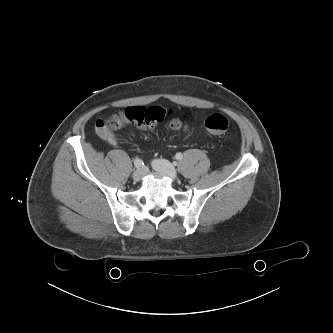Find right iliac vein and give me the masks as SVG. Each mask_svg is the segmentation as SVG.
<instances>
[{
  "instance_id": "1",
  "label": "right iliac vein",
  "mask_w": 333,
  "mask_h": 333,
  "mask_svg": "<svg viewBox=\"0 0 333 333\" xmlns=\"http://www.w3.org/2000/svg\"><path fill=\"white\" fill-rule=\"evenodd\" d=\"M144 175H145V169L140 168L133 173L132 178L134 181L138 182L143 178Z\"/></svg>"
}]
</instances>
